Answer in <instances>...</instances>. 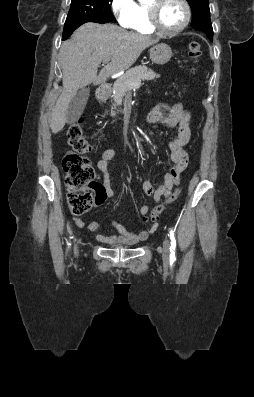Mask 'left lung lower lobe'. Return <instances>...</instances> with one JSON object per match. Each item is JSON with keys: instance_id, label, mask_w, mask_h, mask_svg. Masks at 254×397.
I'll use <instances>...</instances> for the list:
<instances>
[{"instance_id": "0a47b994", "label": "left lung lower lobe", "mask_w": 254, "mask_h": 397, "mask_svg": "<svg viewBox=\"0 0 254 397\" xmlns=\"http://www.w3.org/2000/svg\"><path fill=\"white\" fill-rule=\"evenodd\" d=\"M211 41L213 40V38H209Z\"/></svg>"}]
</instances>
